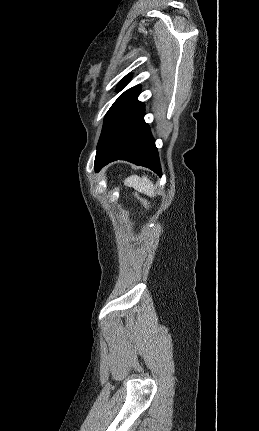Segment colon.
<instances>
[{
	"label": "colon",
	"mask_w": 259,
	"mask_h": 431,
	"mask_svg": "<svg viewBox=\"0 0 259 431\" xmlns=\"http://www.w3.org/2000/svg\"><path fill=\"white\" fill-rule=\"evenodd\" d=\"M139 200H140V202L142 203L143 206H145L147 208L149 207V204H148V202L146 200H144L142 198H139Z\"/></svg>",
	"instance_id": "5ec220e1"
}]
</instances>
